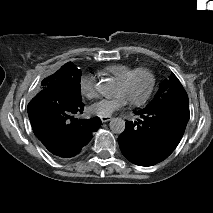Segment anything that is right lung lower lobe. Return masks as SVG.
Segmentation results:
<instances>
[{
    "label": "right lung lower lobe",
    "mask_w": 213,
    "mask_h": 213,
    "mask_svg": "<svg viewBox=\"0 0 213 213\" xmlns=\"http://www.w3.org/2000/svg\"><path fill=\"white\" fill-rule=\"evenodd\" d=\"M81 100L62 89L49 87L28 104L34 133L55 155L74 156L101 125L99 117L84 120L74 118L73 113L83 111Z\"/></svg>",
    "instance_id": "1"
}]
</instances>
